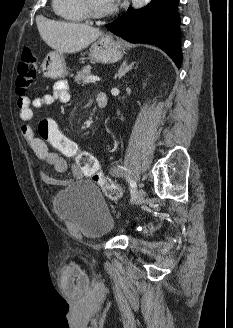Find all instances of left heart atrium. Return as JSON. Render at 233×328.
<instances>
[{
	"label": "left heart atrium",
	"mask_w": 233,
	"mask_h": 328,
	"mask_svg": "<svg viewBox=\"0 0 233 328\" xmlns=\"http://www.w3.org/2000/svg\"><path fill=\"white\" fill-rule=\"evenodd\" d=\"M112 6L118 2V0H106Z\"/></svg>",
	"instance_id": "left-heart-atrium-1"
}]
</instances>
